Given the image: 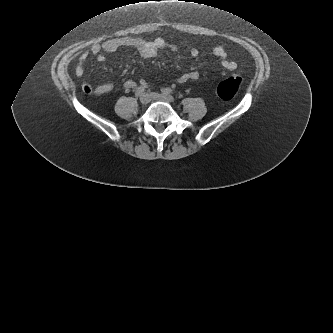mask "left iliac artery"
<instances>
[{"label":"left iliac artery","mask_w":333,"mask_h":333,"mask_svg":"<svg viewBox=\"0 0 333 333\" xmlns=\"http://www.w3.org/2000/svg\"><path fill=\"white\" fill-rule=\"evenodd\" d=\"M163 94L165 95H169V94H172L173 93V90L171 88H164L162 90Z\"/></svg>","instance_id":"obj_1"}]
</instances>
